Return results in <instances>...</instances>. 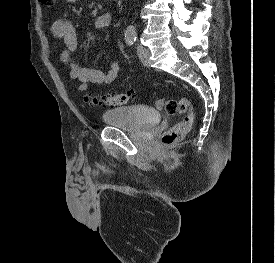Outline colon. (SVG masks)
<instances>
[{
    "instance_id": "5ec220e1",
    "label": "colon",
    "mask_w": 275,
    "mask_h": 263,
    "mask_svg": "<svg viewBox=\"0 0 275 263\" xmlns=\"http://www.w3.org/2000/svg\"><path fill=\"white\" fill-rule=\"evenodd\" d=\"M41 3L48 7H53L56 0H40ZM136 95L133 91L125 93H109L103 95H91L87 99L91 105L102 107H115L126 105L134 102ZM158 110L168 115H183V119L171 128L162 133L159 143L162 146H173L184 138L192 129L195 116L192 104L186 97L178 99L158 98L155 101Z\"/></svg>"
}]
</instances>
